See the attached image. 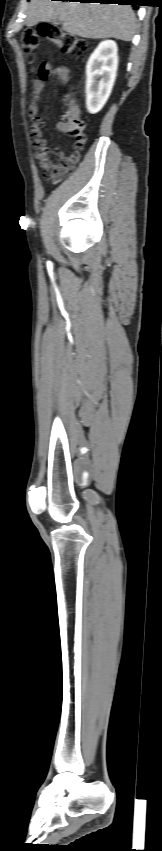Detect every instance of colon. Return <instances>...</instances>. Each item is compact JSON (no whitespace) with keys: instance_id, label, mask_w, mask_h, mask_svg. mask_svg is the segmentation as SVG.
Masks as SVG:
<instances>
[{"instance_id":"5ec220e1","label":"colon","mask_w":162,"mask_h":851,"mask_svg":"<svg viewBox=\"0 0 162 851\" xmlns=\"http://www.w3.org/2000/svg\"><path fill=\"white\" fill-rule=\"evenodd\" d=\"M40 37L48 39L62 52L70 54L75 58L81 57L88 50V44L84 39L65 32L56 25L47 24L42 26L38 31L25 30L21 34V47L29 63L33 62L34 54L39 49ZM67 102L71 103V99L67 98ZM60 124L63 127V131L74 139V144L69 161L54 171L52 180L55 182L62 181L69 174L74 163L79 159L80 152L85 143V123L80 118L78 110L75 107L71 106L65 111Z\"/></svg>"}]
</instances>
